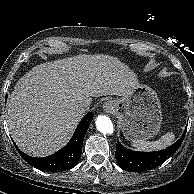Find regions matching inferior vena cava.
<instances>
[{"label": "inferior vena cava", "instance_id": "inferior-vena-cava-1", "mask_svg": "<svg viewBox=\"0 0 194 194\" xmlns=\"http://www.w3.org/2000/svg\"><path fill=\"white\" fill-rule=\"evenodd\" d=\"M89 105H90L89 102H84V103H82V104L80 105L81 111H82V112L87 111V110L89 109Z\"/></svg>", "mask_w": 194, "mask_h": 194}]
</instances>
